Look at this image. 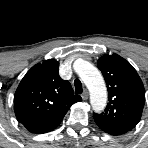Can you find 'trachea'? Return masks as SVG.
I'll list each match as a JSON object with an SVG mask.
<instances>
[{"instance_id":"obj_1","label":"trachea","mask_w":148,"mask_h":148,"mask_svg":"<svg viewBox=\"0 0 148 148\" xmlns=\"http://www.w3.org/2000/svg\"><path fill=\"white\" fill-rule=\"evenodd\" d=\"M74 86H75V92L77 94H81L83 91V88H82V83L79 79H75Z\"/></svg>"}]
</instances>
